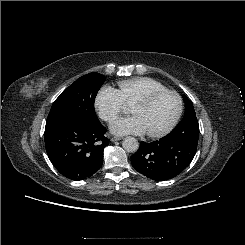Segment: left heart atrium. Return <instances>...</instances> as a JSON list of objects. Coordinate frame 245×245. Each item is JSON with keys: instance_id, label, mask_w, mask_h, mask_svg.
<instances>
[{"instance_id": "obj_1", "label": "left heart atrium", "mask_w": 245, "mask_h": 245, "mask_svg": "<svg viewBox=\"0 0 245 245\" xmlns=\"http://www.w3.org/2000/svg\"><path fill=\"white\" fill-rule=\"evenodd\" d=\"M111 131L119 135L144 134L146 132L140 118L136 115L115 120L111 125Z\"/></svg>"}]
</instances>
